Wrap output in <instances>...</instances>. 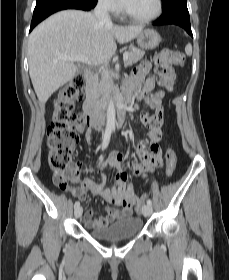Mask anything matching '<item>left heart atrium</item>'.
Segmentation results:
<instances>
[{
  "instance_id": "1",
  "label": "left heart atrium",
  "mask_w": 229,
  "mask_h": 280,
  "mask_svg": "<svg viewBox=\"0 0 229 280\" xmlns=\"http://www.w3.org/2000/svg\"><path fill=\"white\" fill-rule=\"evenodd\" d=\"M122 4H126L128 0H120Z\"/></svg>"
}]
</instances>
